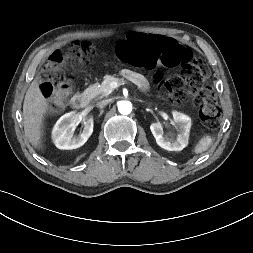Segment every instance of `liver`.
I'll return each mask as SVG.
<instances>
[{
  "instance_id": "liver-1",
  "label": "liver",
  "mask_w": 253,
  "mask_h": 253,
  "mask_svg": "<svg viewBox=\"0 0 253 253\" xmlns=\"http://www.w3.org/2000/svg\"><path fill=\"white\" fill-rule=\"evenodd\" d=\"M47 110V100L42 94L37 79L30 84L23 103L25 135L35 148L41 145L42 123Z\"/></svg>"
}]
</instances>
